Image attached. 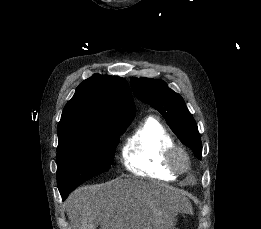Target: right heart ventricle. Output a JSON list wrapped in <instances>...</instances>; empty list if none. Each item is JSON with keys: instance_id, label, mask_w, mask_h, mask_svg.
Returning a JSON list of instances; mask_svg holds the SVG:
<instances>
[{"instance_id": "1", "label": "right heart ventricle", "mask_w": 261, "mask_h": 229, "mask_svg": "<svg viewBox=\"0 0 261 229\" xmlns=\"http://www.w3.org/2000/svg\"><path fill=\"white\" fill-rule=\"evenodd\" d=\"M174 139L166 127L149 112L140 127L129 137L122 147L124 166L140 175L166 173L176 176L166 163L167 149Z\"/></svg>"}]
</instances>
